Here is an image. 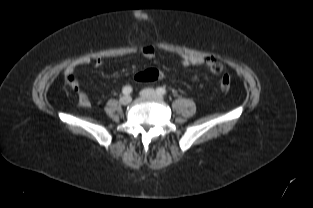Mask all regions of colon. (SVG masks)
<instances>
[{
	"label": "colon",
	"mask_w": 313,
	"mask_h": 208,
	"mask_svg": "<svg viewBox=\"0 0 313 208\" xmlns=\"http://www.w3.org/2000/svg\"><path fill=\"white\" fill-rule=\"evenodd\" d=\"M210 70L214 75H219L222 73V67L217 61L211 65ZM163 77L164 75L162 72H160L158 69L151 68V69H147L145 71L139 72L135 76V79L138 82L147 83V82L157 81ZM66 80L71 87H75L77 85L76 78L73 74H68L66 77ZM230 85H231L230 77L226 74L223 75L219 83L220 89L222 91H228L230 89Z\"/></svg>",
	"instance_id": "obj_1"
}]
</instances>
